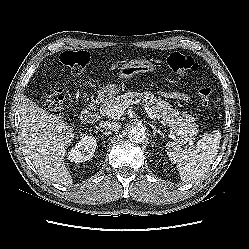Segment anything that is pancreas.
<instances>
[{
	"label": "pancreas",
	"instance_id": "1",
	"mask_svg": "<svg viewBox=\"0 0 249 249\" xmlns=\"http://www.w3.org/2000/svg\"><path fill=\"white\" fill-rule=\"evenodd\" d=\"M143 100L145 104L153 110L164 126H169L171 131L180 136L177 139L180 143L192 141L198 134V125L194 122L195 118L190 114L180 113L172 106L155 97L151 92H128L116 97L110 98L103 106L102 113L108 114L109 110L115 105H121L125 110L129 105L136 104Z\"/></svg>",
	"mask_w": 249,
	"mask_h": 249
}]
</instances>
